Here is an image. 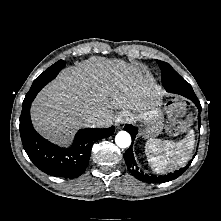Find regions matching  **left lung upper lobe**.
Segmentation results:
<instances>
[{"instance_id": "1", "label": "left lung upper lobe", "mask_w": 221, "mask_h": 221, "mask_svg": "<svg viewBox=\"0 0 221 221\" xmlns=\"http://www.w3.org/2000/svg\"><path fill=\"white\" fill-rule=\"evenodd\" d=\"M162 71V84L171 85L180 79H183L168 63L157 60Z\"/></svg>"}]
</instances>
